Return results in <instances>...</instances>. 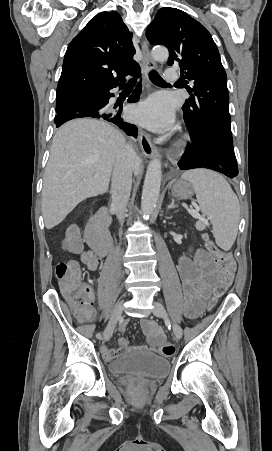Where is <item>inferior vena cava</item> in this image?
Masks as SVG:
<instances>
[{
	"instance_id": "inferior-vena-cava-1",
	"label": "inferior vena cava",
	"mask_w": 272,
	"mask_h": 451,
	"mask_svg": "<svg viewBox=\"0 0 272 451\" xmlns=\"http://www.w3.org/2000/svg\"><path fill=\"white\" fill-rule=\"evenodd\" d=\"M137 160L136 152L131 146H125L119 152L112 174L111 198L112 210H115L119 222H123L127 202L130 198L132 184V170Z\"/></svg>"
}]
</instances>
